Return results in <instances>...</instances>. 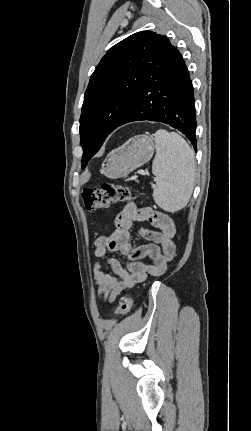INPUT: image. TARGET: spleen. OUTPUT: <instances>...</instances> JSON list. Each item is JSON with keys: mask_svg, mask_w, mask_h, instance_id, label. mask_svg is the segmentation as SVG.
<instances>
[{"mask_svg": "<svg viewBox=\"0 0 251 431\" xmlns=\"http://www.w3.org/2000/svg\"><path fill=\"white\" fill-rule=\"evenodd\" d=\"M154 136L156 155L152 173L156 185L153 198L160 208L174 213L187 205L194 189V152L175 132L160 129Z\"/></svg>", "mask_w": 251, "mask_h": 431, "instance_id": "1", "label": "spleen"}]
</instances>
